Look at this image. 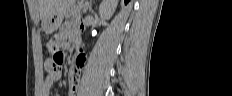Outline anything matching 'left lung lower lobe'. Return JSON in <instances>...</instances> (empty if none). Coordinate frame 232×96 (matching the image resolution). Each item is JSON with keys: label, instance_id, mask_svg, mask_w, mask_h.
<instances>
[{"label": "left lung lower lobe", "instance_id": "left-lung-lower-lobe-1", "mask_svg": "<svg viewBox=\"0 0 232 96\" xmlns=\"http://www.w3.org/2000/svg\"><path fill=\"white\" fill-rule=\"evenodd\" d=\"M129 2V0H125V3L127 4Z\"/></svg>", "mask_w": 232, "mask_h": 96}]
</instances>
